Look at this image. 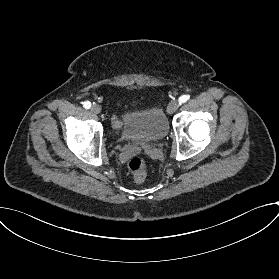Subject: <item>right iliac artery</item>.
Listing matches in <instances>:
<instances>
[{
  "label": "right iliac artery",
  "instance_id": "1",
  "mask_svg": "<svg viewBox=\"0 0 279 279\" xmlns=\"http://www.w3.org/2000/svg\"><path fill=\"white\" fill-rule=\"evenodd\" d=\"M83 107L89 109L91 107V103L89 101H86L83 103Z\"/></svg>",
  "mask_w": 279,
  "mask_h": 279
}]
</instances>
